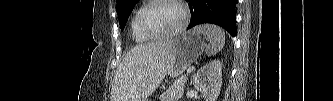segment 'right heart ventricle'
Here are the masks:
<instances>
[{
	"label": "right heart ventricle",
	"mask_w": 333,
	"mask_h": 101,
	"mask_svg": "<svg viewBox=\"0 0 333 101\" xmlns=\"http://www.w3.org/2000/svg\"><path fill=\"white\" fill-rule=\"evenodd\" d=\"M145 7V5H142L140 7H138L135 12L133 13L132 17H131V21H130V29H131V33H132V37L134 39L135 42L137 43H144V42H148L149 40H151V38H149L148 36H146L145 34H143L139 28V24H138V18L140 15V12L142 11V9Z\"/></svg>",
	"instance_id": "1"
}]
</instances>
